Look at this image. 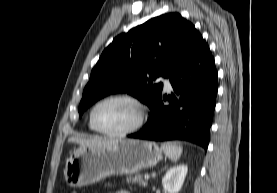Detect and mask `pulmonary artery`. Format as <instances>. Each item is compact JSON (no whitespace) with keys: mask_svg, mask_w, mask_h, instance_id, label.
<instances>
[{"mask_svg":"<svg viewBox=\"0 0 277 193\" xmlns=\"http://www.w3.org/2000/svg\"><path fill=\"white\" fill-rule=\"evenodd\" d=\"M158 81L161 82L164 86V88L166 90H170L171 89V83H170V80L169 78L165 77V76H160L158 78Z\"/></svg>","mask_w":277,"mask_h":193,"instance_id":"pulmonary-artery-1","label":"pulmonary artery"}]
</instances>
